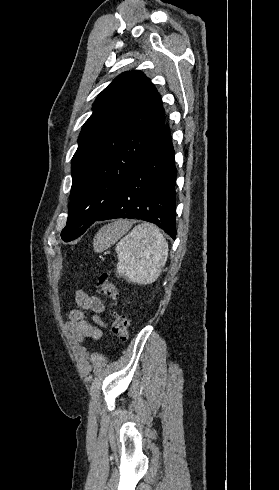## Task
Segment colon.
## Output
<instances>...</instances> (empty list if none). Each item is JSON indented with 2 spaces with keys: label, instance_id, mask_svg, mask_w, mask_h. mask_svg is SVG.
<instances>
[{
  "label": "colon",
  "instance_id": "5ec220e1",
  "mask_svg": "<svg viewBox=\"0 0 279 490\" xmlns=\"http://www.w3.org/2000/svg\"><path fill=\"white\" fill-rule=\"evenodd\" d=\"M96 288L100 295L108 298L117 300L119 297L117 288L111 278L103 274L96 280ZM130 322L127 318L123 316H117L113 320L112 331L113 335L121 340H126L129 335Z\"/></svg>",
  "mask_w": 279,
  "mask_h": 490
}]
</instances>
